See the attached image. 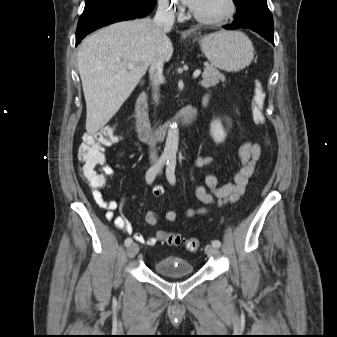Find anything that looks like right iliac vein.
<instances>
[{
    "instance_id": "63e3f726",
    "label": "right iliac vein",
    "mask_w": 337,
    "mask_h": 337,
    "mask_svg": "<svg viewBox=\"0 0 337 337\" xmlns=\"http://www.w3.org/2000/svg\"><path fill=\"white\" fill-rule=\"evenodd\" d=\"M139 251V247L136 243H132L128 248H127V256L129 258H133L137 255Z\"/></svg>"
}]
</instances>
